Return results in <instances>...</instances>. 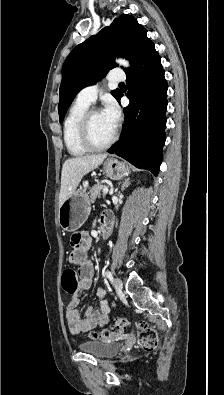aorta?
<instances>
[{
  "instance_id": "aorta-1",
  "label": "aorta",
  "mask_w": 224,
  "mask_h": 395,
  "mask_svg": "<svg viewBox=\"0 0 224 395\" xmlns=\"http://www.w3.org/2000/svg\"><path fill=\"white\" fill-rule=\"evenodd\" d=\"M116 62L124 67H129V62L125 59H117Z\"/></svg>"
}]
</instances>
